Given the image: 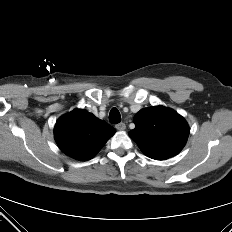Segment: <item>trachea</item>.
<instances>
[{
  "label": "trachea",
  "instance_id": "3493384b",
  "mask_svg": "<svg viewBox=\"0 0 232 232\" xmlns=\"http://www.w3.org/2000/svg\"><path fill=\"white\" fill-rule=\"evenodd\" d=\"M109 121L112 124L121 122V116L117 108H112L109 113Z\"/></svg>",
  "mask_w": 232,
  "mask_h": 232
}]
</instances>
